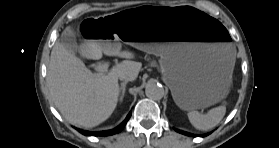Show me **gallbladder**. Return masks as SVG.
Segmentation results:
<instances>
[{
    "mask_svg": "<svg viewBox=\"0 0 279 148\" xmlns=\"http://www.w3.org/2000/svg\"><path fill=\"white\" fill-rule=\"evenodd\" d=\"M59 42L71 53L79 52L80 48L76 41V36L70 28H67L61 35Z\"/></svg>",
    "mask_w": 279,
    "mask_h": 148,
    "instance_id": "1",
    "label": "gallbladder"
}]
</instances>
